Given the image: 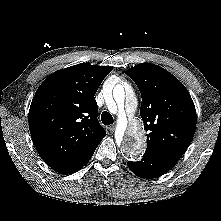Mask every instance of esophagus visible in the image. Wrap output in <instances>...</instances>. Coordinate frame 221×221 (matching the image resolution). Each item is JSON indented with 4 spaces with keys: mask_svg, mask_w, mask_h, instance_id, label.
Here are the masks:
<instances>
[{
    "mask_svg": "<svg viewBox=\"0 0 221 221\" xmlns=\"http://www.w3.org/2000/svg\"><path fill=\"white\" fill-rule=\"evenodd\" d=\"M108 129H109L110 132H114V130H115V125H110V126L108 127Z\"/></svg>",
    "mask_w": 221,
    "mask_h": 221,
    "instance_id": "esophagus-1",
    "label": "esophagus"
}]
</instances>
